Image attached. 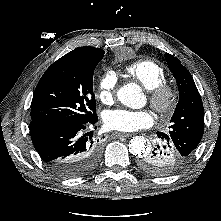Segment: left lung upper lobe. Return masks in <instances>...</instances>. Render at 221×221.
Returning <instances> with one entry per match:
<instances>
[{
  "label": "left lung upper lobe",
  "mask_w": 221,
  "mask_h": 221,
  "mask_svg": "<svg viewBox=\"0 0 221 221\" xmlns=\"http://www.w3.org/2000/svg\"><path fill=\"white\" fill-rule=\"evenodd\" d=\"M165 59L180 94L167 134L180 154L190 160L204 132L203 103L189 71L171 54H165Z\"/></svg>",
  "instance_id": "5c2ea615"
}]
</instances>
